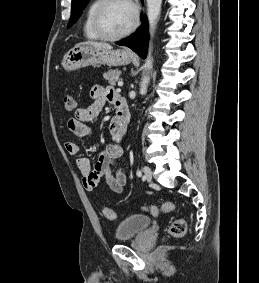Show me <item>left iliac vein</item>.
Wrapping results in <instances>:
<instances>
[{
  "instance_id": "1",
  "label": "left iliac vein",
  "mask_w": 259,
  "mask_h": 283,
  "mask_svg": "<svg viewBox=\"0 0 259 283\" xmlns=\"http://www.w3.org/2000/svg\"><path fill=\"white\" fill-rule=\"evenodd\" d=\"M144 177L145 179L150 182L152 180V171L148 166L143 167Z\"/></svg>"
}]
</instances>
